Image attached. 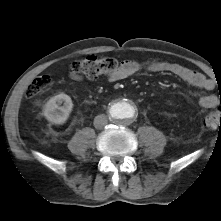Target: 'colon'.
I'll list each match as a JSON object with an SVG mask.
<instances>
[{"label": "colon", "instance_id": "1", "mask_svg": "<svg viewBox=\"0 0 221 221\" xmlns=\"http://www.w3.org/2000/svg\"><path fill=\"white\" fill-rule=\"evenodd\" d=\"M122 65V62L110 57L88 56L71 63V70L89 79H96L102 76H111ZM51 84L48 76H40L34 79L27 88L26 95L35 97L42 93ZM207 129L221 128V109L209 112L203 121Z\"/></svg>", "mask_w": 221, "mask_h": 221}]
</instances>
